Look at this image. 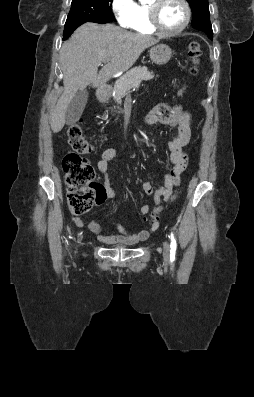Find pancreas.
I'll return each mask as SVG.
<instances>
[{"label": "pancreas", "instance_id": "obj_1", "mask_svg": "<svg viewBox=\"0 0 254 397\" xmlns=\"http://www.w3.org/2000/svg\"><path fill=\"white\" fill-rule=\"evenodd\" d=\"M154 78L153 72L148 71L145 66H138L127 71L114 84V99L121 103V98L128 95L132 88L140 85L142 80H151Z\"/></svg>", "mask_w": 254, "mask_h": 397}]
</instances>
